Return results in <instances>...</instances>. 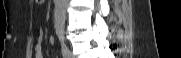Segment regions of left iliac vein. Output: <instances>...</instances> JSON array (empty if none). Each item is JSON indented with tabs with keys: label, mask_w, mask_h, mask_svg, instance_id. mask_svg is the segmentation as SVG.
I'll return each instance as SVG.
<instances>
[{
	"label": "left iliac vein",
	"mask_w": 181,
	"mask_h": 58,
	"mask_svg": "<svg viewBox=\"0 0 181 58\" xmlns=\"http://www.w3.org/2000/svg\"><path fill=\"white\" fill-rule=\"evenodd\" d=\"M69 58H74L73 55H72V53H70Z\"/></svg>",
	"instance_id": "4c4485c4"
}]
</instances>
